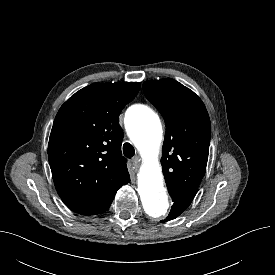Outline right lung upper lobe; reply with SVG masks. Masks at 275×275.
<instances>
[{
	"mask_svg": "<svg viewBox=\"0 0 275 275\" xmlns=\"http://www.w3.org/2000/svg\"><path fill=\"white\" fill-rule=\"evenodd\" d=\"M139 89V83H93L58 111L48 158L56 190L72 211L103 213L117 190L130 181L121 154L119 115Z\"/></svg>",
	"mask_w": 275,
	"mask_h": 275,
	"instance_id": "right-lung-upper-lobe-1",
	"label": "right lung upper lobe"
}]
</instances>
